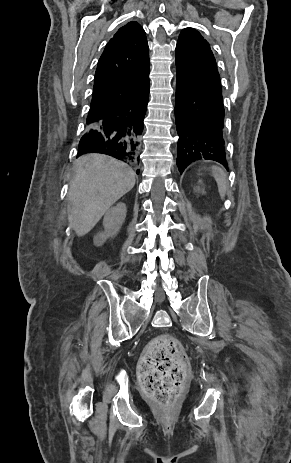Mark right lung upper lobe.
I'll use <instances>...</instances> for the list:
<instances>
[{"label":"right lung upper lobe","instance_id":"cb5924a9","mask_svg":"<svg viewBox=\"0 0 291 463\" xmlns=\"http://www.w3.org/2000/svg\"><path fill=\"white\" fill-rule=\"evenodd\" d=\"M148 84L146 34L137 22H129L110 39L98 61L87 124L119 108L126 98Z\"/></svg>","mask_w":291,"mask_h":463}]
</instances>
